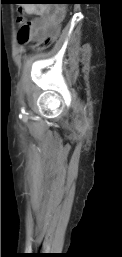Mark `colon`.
<instances>
[{
	"label": "colon",
	"instance_id": "colon-1",
	"mask_svg": "<svg viewBox=\"0 0 122 257\" xmlns=\"http://www.w3.org/2000/svg\"><path fill=\"white\" fill-rule=\"evenodd\" d=\"M61 10H66L67 6L66 5H61L60 6ZM60 16H67V11H60ZM18 23L21 25L20 31H19V42L20 43H25L28 41V24L25 22L24 17L20 15L17 18ZM63 29V24L62 21H55L53 30H49L46 38L41 40L37 45L36 49L37 50H44L47 47H49L54 39H58L59 35L63 34V31L60 30Z\"/></svg>",
	"mask_w": 122,
	"mask_h": 257
}]
</instances>
